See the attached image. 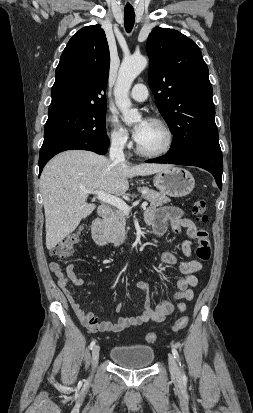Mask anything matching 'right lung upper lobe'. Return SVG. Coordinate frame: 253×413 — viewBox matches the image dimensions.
<instances>
[{"label": "right lung upper lobe", "mask_w": 253, "mask_h": 413, "mask_svg": "<svg viewBox=\"0 0 253 413\" xmlns=\"http://www.w3.org/2000/svg\"><path fill=\"white\" fill-rule=\"evenodd\" d=\"M110 53L100 25L80 29L68 42L56 68L48 115L107 107Z\"/></svg>", "instance_id": "1"}]
</instances>
